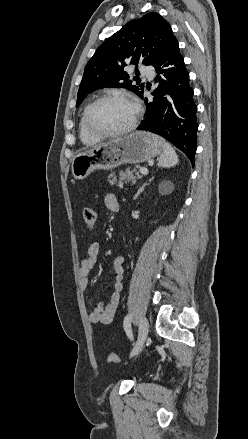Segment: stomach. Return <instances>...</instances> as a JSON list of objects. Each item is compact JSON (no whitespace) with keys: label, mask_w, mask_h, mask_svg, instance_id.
Segmentation results:
<instances>
[{"label":"stomach","mask_w":248,"mask_h":439,"mask_svg":"<svg viewBox=\"0 0 248 439\" xmlns=\"http://www.w3.org/2000/svg\"><path fill=\"white\" fill-rule=\"evenodd\" d=\"M165 144L156 135L133 132L78 152L72 160V175L77 180H83L98 169L111 170L124 163H142L161 155Z\"/></svg>","instance_id":"1"}]
</instances>
